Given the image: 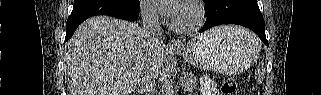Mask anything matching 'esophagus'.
<instances>
[{
    "instance_id": "esophagus-1",
    "label": "esophagus",
    "mask_w": 321,
    "mask_h": 95,
    "mask_svg": "<svg viewBox=\"0 0 321 95\" xmlns=\"http://www.w3.org/2000/svg\"><path fill=\"white\" fill-rule=\"evenodd\" d=\"M169 46L172 48H178L182 46V43L179 40L172 39L169 41Z\"/></svg>"
}]
</instances>
